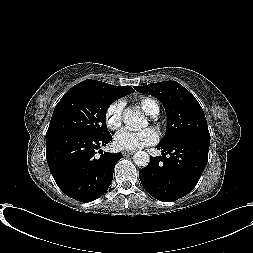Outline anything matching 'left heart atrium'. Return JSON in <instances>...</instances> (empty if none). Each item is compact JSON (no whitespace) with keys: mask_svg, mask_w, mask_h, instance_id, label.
I'll list each match as a JSON object with an SVG mask.
<instances>
[{"mask_svg":"<svg viewBox=\"0 0 253 253\" xmlns=\"http://www.w3.org/2000/svg\"><path fill=\"white\" fill-rule=\"evenodd\" d=\"M158 141V134L153 128H146L141 131L123 129L114 137V145L119 150H137L155 144Z\"/></svg>","mask_w":253,"mask_h":253,"instance_id":"obj_1","label":"left heart atrium"}]
</instances>
